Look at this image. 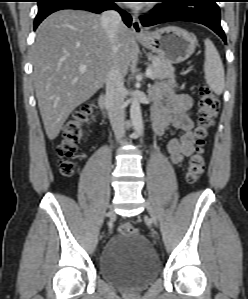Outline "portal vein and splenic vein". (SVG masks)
Segmentation results:
<instances>
[{"mask_svg":"<svg viewBox=\"0 0 248 299\" xmlns=\"http://www.w3.org/2000/svg\"><path fill=\"white\" fill-rule=\"evenodd\" d=\"M84 70H85V66L83 65V66L80 67V71L83 72ZM152 75H153V71H152L150 68H148V69L146 70V76H147L148 78H151Z\"/></svg>","mask_w":248,"mask_h":299,"instance_id":"obj_1","label":"portal vein and splenic vein"}]
</instances>
